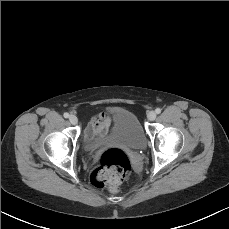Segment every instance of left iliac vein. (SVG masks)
<instances>
[{
  "label": "left iliac vein",
  "mask_w": 229,
  "mask_h": 229,
  "mask_svg": "<svg viewBox=\"0 0 229 229\" xmlns=\"http://www.w3.org/2000/svg\"><path fill=\"white\" fill-rule=\"evenodd\" d=\"M155 118H156V113H155V111H150V112L148 113V115H147V119H148L149 121H153Z\"/></svg>",
  "instance_id": "1"
}]
</instances>
